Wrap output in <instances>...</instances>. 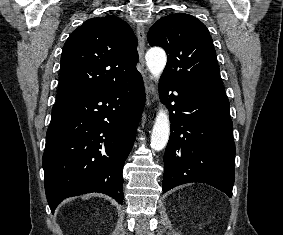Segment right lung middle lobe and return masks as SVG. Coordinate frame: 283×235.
<instances>
[{
    "instance_id": "obj_1",
    "label": "right lung middle lobe",
    "mask_w": 283,
    "mask_h": 235,
    "mask_svg": "<svg viewBox=\"0 0 283 235\" xmlns=\"http://www.w3.org/2000/svg\"><path fill=\"white\" fill-rule=\"evenodd\" d=\"M55 108H56V106L54 105V107H53L52 111H53V110H55Z\"/></svg>"
}]
</instances>
